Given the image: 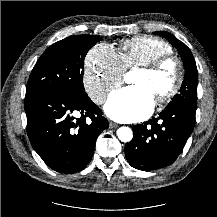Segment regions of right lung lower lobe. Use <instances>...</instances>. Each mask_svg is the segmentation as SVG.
<instances>
[{
  "instance_id": "98d812e1",
  "label": "right lung lower lobe",
  "mask_w": 217,
  "mask_h": 217,
  "mask_svg": "<svg viewBox=\"0 0 217 217\" xmlns=\"http://www.w3.org/2000/svg\"><path fill=\"white\" fill-rule=\"evenodd\" d=\"M25 112L32 147L50 168L60 173L83 170L94 153L97 137L108 128L107 119L88 96H26Z\"/></svg>"
}]
</instances>
